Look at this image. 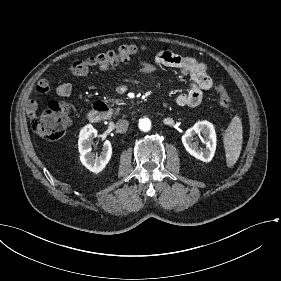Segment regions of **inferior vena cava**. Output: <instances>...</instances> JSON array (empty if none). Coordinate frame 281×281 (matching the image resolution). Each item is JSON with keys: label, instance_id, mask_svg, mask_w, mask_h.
Instances as JSON below:
<instances>
[{"label": "inferior vena cava", "instance_id": "inferior-vena-cava-1", "mask_svg": "<svg viewBox=\"0 0 281 281\" xmlns=\"http://www.w3.org/2000/svg\"><path fill=\"white\" fill-rule=\"evenodd\" d=\"M129 122L127 120H118L116 122V130L119 133H125L128 130Z\"/></svg>", "mask_w": 281, "mask_h": 281}]
</instances>
